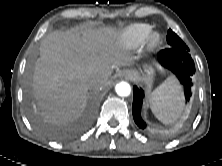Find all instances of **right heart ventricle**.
I'll use <instances>...</instances> for the list:
<instances>
[{
  "label": "right heart ventricle",
  "mask_w": 222,
  "mask_h": 166,
  "mask_svg": "<svg viewBox=\"0 0 222 166\" xmlns=\"http://www.w3.org/2000/svg\"><path fill=\"white\" fill-rule=\"evenodd\" d=\"M152 27L146 23H136L126 27L119 35V43L126 48H137L140 46Z\"/></svg>",
  "instance_id": "1"
}]
</instances>
